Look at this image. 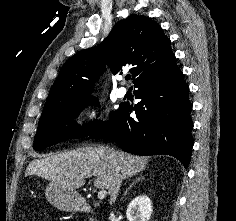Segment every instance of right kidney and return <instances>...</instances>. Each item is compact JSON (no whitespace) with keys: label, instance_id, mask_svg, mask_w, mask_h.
Wrapping results in <instances>:
<instances>
[{"label":"right kidney","instance_id":"ca27d5eb","mask_svg":"<svg viewBox=\"0 0 236 221\" xmlns=\"http://www.w3.org/2000/svg\"><path fill=\"white\" fill-rule=\"evenodd\" d=\"M152 211L150 198L147 196H137L129 203L126 215L129 221H148Z\"/></svg>","mask_w":236,"mask_h":221}]
</instances>
